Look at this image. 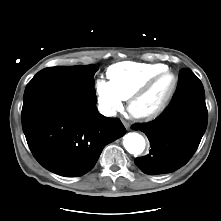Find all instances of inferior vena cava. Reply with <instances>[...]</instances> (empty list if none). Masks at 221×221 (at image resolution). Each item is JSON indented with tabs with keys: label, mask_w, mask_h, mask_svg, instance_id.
<instances>
[{
	"label": "inferior vena cava",
	"mask_w": 221,
	"mask_h": 221,
	"mask_svg": "<svg viewBox=\"0 0 221 221\" xmlns=\"http://www.w3.org/2000/svg\"><path fill=\"white\" fill-rule=\"evenodd\" d=\"M100 113H102L105 116H114L116 114L115 110H111L110 108L107 107H102L100 109Z\"/></svg>",
	"instance_id": "1"
}]
</instances>
